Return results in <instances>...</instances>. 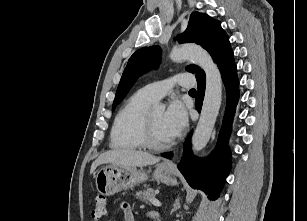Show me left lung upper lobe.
I'll list each match as a JSON object with an SVG mask.
<instances>
[{
  "label": "left lung upper lobe",
  "instance_id": "5c2ea615",
  "mask_svg": "<svg viewBox=\"0 0 307 221\" xmlns=\"http://www.w3.org/2000/svg\"><path fill=\"white\" fill-rule=\"evenodd\" d=\"M180 43L195 42L206 49L215 63L220 62L233 51L227 34L221 28V23L204 13L193 12L190 15L187 29L178 37ZM161 50L157 46L144 47L137 50L128 60L117 88L112 111L123 100L137 79L158 65ZM189 72L196 73V79L205 77L198 66L189 65Z\"/></svg>",
  "mask_w": 307,
  "mask_h": 221
}]
</instances>
